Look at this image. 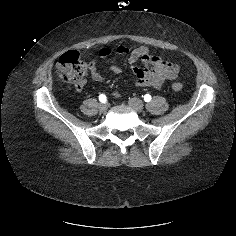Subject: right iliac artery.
I'll use <instances>...</instances> for the list:
<instances>
[{
    "mask_svg": "<svg viewBox=\"0 0 236 236\" xmlns=\"http://www.w3.org/2000/svg\"><path fill=\"white\" fill-rule=\"evenodd\" d=\"M107 100L106 96L104 94H100L99 95V101L102 102V103H105Z\"/></svg>",
    "mask_w": 236,
    "mask_h": 236,
    "instance_id": "82829eb1",
    "label": "right iliac artery"
}]
</instances>
